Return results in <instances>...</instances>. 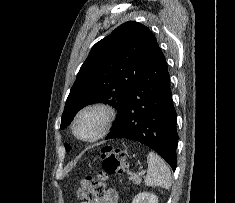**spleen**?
I'll return each instance as SVG.
<instances>
[{
    "instance_id": "3e777b00",
    "label": "spleen",
    "mask_w": 235,
    "mask_h": 203,
    "mask_svg": "<svg viewBox=\"0 0 235 203\" xmlns=\"http://www.w3.org/2000/svg\"><path fill=\"white\" fill-rule=\"evenodd\" d=\"M148 170L144 182L150 187L169 189L172 185L171 172L160 156L150 152L147 156Z\"/></svg>"
}]
</instances>
